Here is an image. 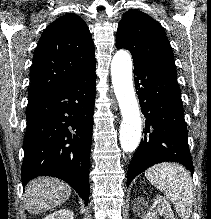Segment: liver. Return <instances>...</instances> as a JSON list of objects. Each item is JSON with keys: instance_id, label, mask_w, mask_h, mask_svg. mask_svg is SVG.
<instances>
[{"instance_id": "6515ba94", "label": "liver", "mask_w": 211, "mask_h": 219, "mask_svg": "<svg viewBox=\"0 0 211 219\" xmlns=\"http://www.w3.org/2000/svg\"><path fill=\"white\" fill-rule=\"evenodd\" d=\"M72 188L65 182L51 177L30 181L25 188L24 202L31 214L46 212L66 202Z\"/></svg>"}]
</instances>
